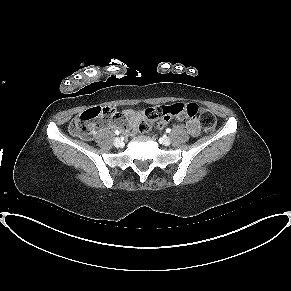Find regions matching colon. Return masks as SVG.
<instances>
[{
	"label": "colon",
	"mask_w": 291,
	"mask_h": 291,
	"mask_svg": "<svg viewBox=\"0 0 291 291\" xmlns=\"http://www.w3.org/2000/svg\"><path fill=\"white\" fill-rule=\"evenodd\" d=\"M199 116L200 124L204 131L211 132L216 126L215 116L207 109L195 104H174L171 106H160L152 108L148 112L146 120L140 122L138 132L146 133L150 130L151 122H156L158 127H162L171 117L175 116ZM120 117V113L114 107H91L78 114L70 123L69 129L73 135L84 139H90L95 129L98 127V121H111Z\"/></svg>",
	"instance_id": "1"
}]
</instances>
